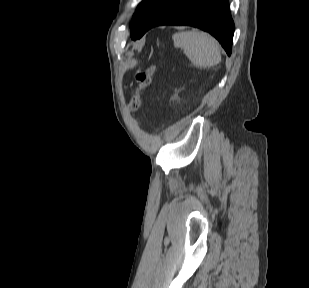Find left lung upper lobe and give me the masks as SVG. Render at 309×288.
Instances as JSON below:
<instances>
[{
	"mask_svg": "<svg viewBox=\"0 0 309 288\" xmlns=\"http://www.w3.org/2000/svg\"><path fill=\"white\" fill-rule=\"evenodd\" d=\"M159 1L160 0H143L139 4L130 24L131 36L140 30L143 22Z\"/></svg>",
	"mask_w": 309,
	"mask_h": 288,
	"instance_id": "5c2ea615",
	"label": "left lung upper lobe"
}]
</instances>
